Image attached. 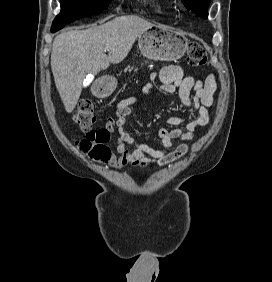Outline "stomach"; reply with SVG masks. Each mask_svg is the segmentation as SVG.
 <instances>
[{
  "label": "stomach",
  "mask_w": 272,
  "mask_h": 282,
  "mask_svg": "<svg viewBox=\"0 0 272 282\" xmlns=\"http://www.w3.org/2000/svg\"><path fill=\"white\" fill-rule=\"evenodd\" d=\"M141 53L150 60L176 61L187 48V39L179 32L163 25H153L138 36ZM117 86L113 76L104 78V91L112 93Z\"/></svg>",
  "instance_id": "1"
}]
</instances>
